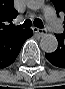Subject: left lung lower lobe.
<instances>
[{
  "instance_id": "1",
  "label": "left lung lower lobe",
  "mask_w": 65,
  "mask_h": 89,
  "mask_svg": "<svg viewBox=\"0 0 65 89\" xmlns=\"http://www.w3.org/2000/svg\"><path fill=\"white\" fill-rule=\"evenodd\" d=\"M58 40V48L53 53H46L47 60L53 65L65 68V33L63 35H56Z\"/></svg>"
}]
</instances>
